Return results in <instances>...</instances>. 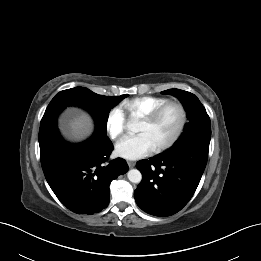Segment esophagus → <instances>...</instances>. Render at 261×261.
<instances>
[{
  "label": "esophagus",
  "instance_id": "1",
  "mask_svg": "<svg viewBox=\"0 0 261 261\" xmlns=\"http://www.w3.org/2000/svg\"><path fill=\"white\" fill-rule=\"evenodd\" d=\"M127 164L130 168H133L135 166V162L132 161H128Z\"/></svg>",
  "mask_w": 261,
  "mask_h": 261
}]
</instances>
